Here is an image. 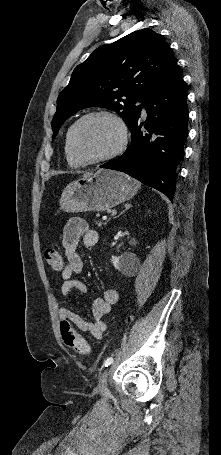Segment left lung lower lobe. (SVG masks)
<instances>
[{
    "instance_id": "0a47b994",
    "label": "left lung lower lobe",
    "mask_w": 221,
    "mask_h": 455,
    "mask_svg": "<svg viewBox=\"0 0 221 455\" xmlns=\"http://www.w3.org/2000/svg\"><path fill=\"white\" fill-rule=\"evenodd\" d=\"M143 105L147 119L141 122L140 111L130 129V146L123 155L100 167L127 173L172 200L188 135L187 91L176 63Z\"/></svg>"
}]
</instances>
